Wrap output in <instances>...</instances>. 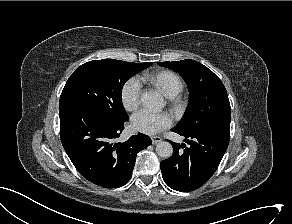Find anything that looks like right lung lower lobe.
<instances>
[{
	"label": "right lung lower lobe",
	"mask_w": 292,
	"mask_h": 224,
	"mask_svg": "<svg viewBox=\"0 0 292 224\" xmlns=\"http://www.w3.org/2000/svg\"><path fill=\"white\" fill-rule=\"evenodd\" d=\"M59 116L60 139L70 160L84 178L104 188L126 184L137 153L152 144L142 133L116 142L128 117L112 122L82 106L59 108Z\"/></svg>",
	"instance_id": "obj_1"
}]
</instances>
